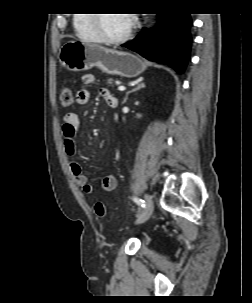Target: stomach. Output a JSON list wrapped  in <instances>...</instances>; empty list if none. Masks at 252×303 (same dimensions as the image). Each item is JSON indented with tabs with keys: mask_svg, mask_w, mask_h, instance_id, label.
Wrapping results in <instances>:
<instances>
[{
	"mask_svg": "<svg viewBox=\"0 0 252 303\" xmlns=\"http://www.w3.org/2000/svg\"><path fill=\"white\" fill-rule=\"evenodd\" d=\"M59 60L72 71H84L96 66L107 74L126 78L137 77L147 68L142 59L131 53L78 40H69L61 47Z\"/></svg>",
	"mask_w": 252,
	"mask_h": 303,
	"instance_id": "0dacf381",
	"label": "stomach"
}]
</instances>
